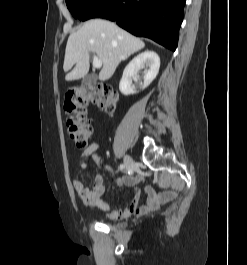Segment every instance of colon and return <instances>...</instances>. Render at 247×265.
<instances>
[{
  "label": "colon",
  "mask_w": 247,
  "mask_h": 265,
  "mask_svg": "<svg viewBox=\"0 0 247 265\" xmlns=\"http://www.w3.org/2000/svg\"><path fill=\"white\" fill-rule=\"evenodd\" d=\"M116 101L115 92L106 86H88L67 93L64 105L68 114L67 129L70 138L78 148H86L92 135V126L86 115L88 103L113 111Z\"/></svg>",
  "instance_id": "obj_1"
}]
</instances>
